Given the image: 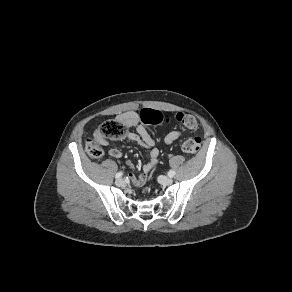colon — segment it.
Here are the masks:
<instances>
[{
	"label": "colon",
	"mask_w": 292,
	"mask_h": 292,
	"mask_svg": "<svg viewBox=\"0 0 292 292\" xmlns=\"http://www.w3.org/2000/svg\"><path fill=\"white\" fill-rule=\"evenodd\" d=\"M140 119L145 124H159L163 121V116L160 112L152 109H144L140 112ZM177 120L187 129L193 130L197 127V120L185 113H178ZM128 127L119 120L104 121L96 129L93 139L86 142V150L93 158H99L102 155L100 144L101 139L107 140H122L127 136ZM201 137L195 136L186 139L182 144V150L187 154H196L201 147Z\"/></svg>",
	"instance_id": "1"
}]
</instances>
